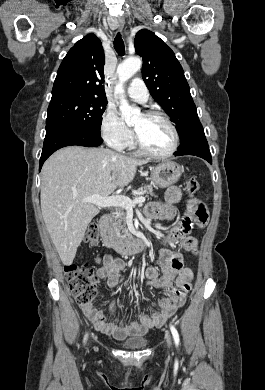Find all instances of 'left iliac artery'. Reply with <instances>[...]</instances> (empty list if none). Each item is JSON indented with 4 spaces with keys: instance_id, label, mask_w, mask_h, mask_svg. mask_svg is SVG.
<instances>
[{
    "instance_id": "left-iliac-artery-1",
    "label": "left iliac artery",
    "mask_w": 265,
    "mask_h": 390,
    "mask_svg": "<svg viewBox=\"0 0 265 390\" xmlns=\"http://www.w3.org/2000/svg\"><path fill=\"white\" fill-rule=\"evenodd\" d=\"M170 330H171V333L173 335L175 345L178 347L179 341H180L179 334H178L176 328L173 325H170Z\"/></svg>"
}]
</instances>
